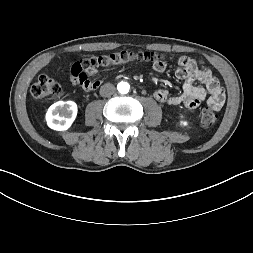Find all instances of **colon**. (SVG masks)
<instances>
[{
	"label": "colon",
	"mask_w": 253,
	"mask_h": 253,
	"mask_svg": "<svg viewBox=\"0 0 253 253\" xmlns=\"http://www.w3.org/2000/svg\"><path fill=\"white\" fill-rule=\"evenodd\" d=\"M162 60L166 56L156 52L120 51L109 54L94 55L75 62L68 74V79L76 89L96 90L102 82V77L96 75L99 69L108 68L130 62H151ZM61 93L60 84L47 75H40L31 87V94L35 99H46ZM218 121V114L213 107L207 106L202 110L201 123L205 127H213Z\"/></svg>",
	"instance_id": "1"
}]
</instances>
